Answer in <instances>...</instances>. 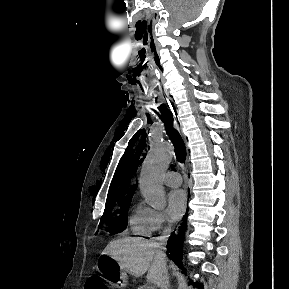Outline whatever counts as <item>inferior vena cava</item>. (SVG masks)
<instances>
[{"instance_id":"inferior-vena-cava-1","label":"inferior vena cava","mask_w":289,"mask_h":289,"mask_svg":"<svg viewBox=\"0 0 289 289\" xmlns=\"http://www.w3.org/2000/svg\"><path fill=\"white\" fill-rule=\"evenodd\" d=\"M170 233H171V228L170 227L166 228L163 232V236L160 239V243L157 246V255L163 266V274L157 283L160 289H169V286H170L169 276H168L167 269H166V254L163 251V246L166 244L168 237L170 236Z\"/></svg>"}]
</instances>
